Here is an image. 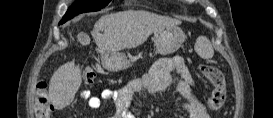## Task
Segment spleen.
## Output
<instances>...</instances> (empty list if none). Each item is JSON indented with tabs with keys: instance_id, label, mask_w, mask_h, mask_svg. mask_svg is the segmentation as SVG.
<instances>
[{
	"instance_id": "spleen-1",
	"label": "spleen",
	"mask_w": 273,
	"mask_h": 118,
	"mask_svg": "<svg viewBox=\"0 0 273 118\" xmlns=\"http://www.w3.org/2000/svg\"><path fill=\"white\" fill-rule=\"evenodd\" d=\"M195 51L204 59H211L214 55L212 44L205 36H199L197 38Z\"/></svg>"
}]
</instances>
